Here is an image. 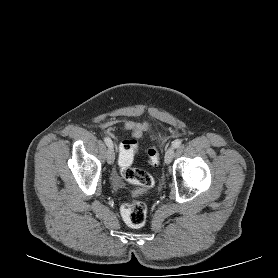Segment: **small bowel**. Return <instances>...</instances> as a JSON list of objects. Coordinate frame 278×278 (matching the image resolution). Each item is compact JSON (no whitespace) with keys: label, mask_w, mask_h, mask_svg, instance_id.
<instances>
[{"label":"small bowel","mask_w":278,"mask_h":278,"mask_svg":"<svg viewBox=\"0 0 278 278\" xmlns=\"http://www.w3.org/2000/svg\"><path fill=\"white\" fill-rule=\"evenodd\" d=\"M101 128L112 137L116 136V131L121 128L131 133L134 138H140L147 130V122H138L131 119H110L101 124Z\"/></svg>","instance_id":"small-bowel-1"}]
</instances>
